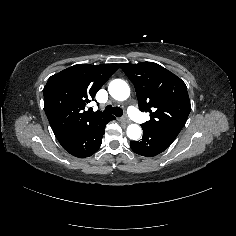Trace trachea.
<instances>
[{
	"mask_svg": "<svg viewBox=\"0 0 236 236\" xmlns=\"http://www.w3.org/2000/svg\"><path fill=\"white\" fill-rule=\"evenodd\" d=\"M104 113L105 114H114L115 116L120 117L123 114V110L120 107L108 105V106H106Z\"/></svg>",
	"mask_w": 236,
	"mask_h": 236,
	"instance_id": "3493384b",
	"label": "trachea"
}]
</instances>
